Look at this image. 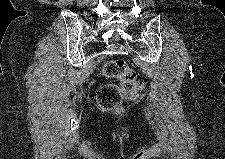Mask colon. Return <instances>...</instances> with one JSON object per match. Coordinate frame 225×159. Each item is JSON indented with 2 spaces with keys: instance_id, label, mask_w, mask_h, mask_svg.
<instances>
[{
  "instance_id": "obj_1",
  "label": "colon",
  "mask_w": 225,
  "mask_h": 159,
  "mask_svg": "<svg viewBox=\"0 0 225 159\" xmlns=\"http://www.w3.org/2000/svg\"><path fill=\"white\" fill-rule=\"evenodd\" d=\"M101 72L105 78L120 81L119 85L109 83L99 89L97 100L104 110L118 108L126 96L136 98L144 88L143 82L137 78L136 71L123 59L105 62Z\"/></svg>"
}]
</instances>
